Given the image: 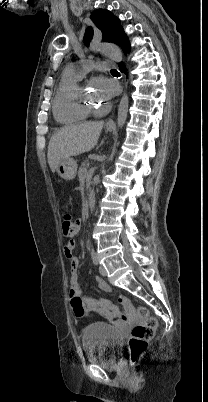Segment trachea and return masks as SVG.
Returning <instances> with one entry per match:
<instances>
[{
	"instance_id": "obj_1",
	"label": "trachea",
	"mask_w": 208,
	"mask_h": 402,
	"mask_svg": "<svg viewBox=\"0 0 208 402\" xmlns=\"http://www.w3.org/2000/svg\"><path fill=\"white\" fill-rule=\"evenodd\" d=\"M111 72H117V70H115V69H112V70H111Z\"/></svg>"
}]
</instances>
